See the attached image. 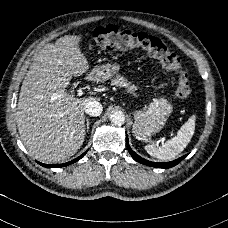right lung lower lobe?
I'll return each instance as SVG.
<instances>
[{
  "mask_svg": "<svg viewBox=\"0 0 228 228\" xmlns=\"http://www.w3.org/2000/svg\"><path fill=\"white\" fill-rule=\"evenodd\" d=\"M86 154V152H84L81 156H79L78 158L70 161V162H67V163H63V164H51V165H47V164H43V163H40V162H37L39 163L40 165H42L43 167H47V168H51V167H64V166H67V165H70L76 161H78L79 159H81L84 155Z\"/></svg>",
  "mask_w": 228,
  "mask_h": 228,
  "instance_id": "right-lung-lower-lobe-1",
  "label": "right lung lower lobe"
}]
</instances>
